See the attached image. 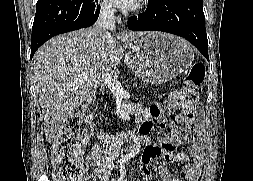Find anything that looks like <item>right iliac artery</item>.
<instances>
[{
	"label": "right iliac artery",
	"mask_w": 253,
	"mask_h": 181,
	"mask_svg": "<svg viewBox=\"0 0 253 181\" xmlns=\"http://www.w3.org/2000/svg\"><path fill=\"white\" fill-rule=\"evenodd\" d=\"M125 162V160H122L120 163H124Z\"/></svg>",
	"instance_id": "obj_1"
}]
</instances>
